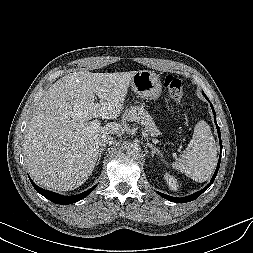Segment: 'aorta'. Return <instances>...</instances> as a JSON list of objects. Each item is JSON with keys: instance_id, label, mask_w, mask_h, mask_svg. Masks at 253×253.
I'll return each mask as SVG.
<instances>
[{"instance_id": "762f6f07", "label": "aorta", "mask_w": 253, "mask_h": 253, "mask_svg": "<svg viewBox=\"0 0 253 253\" xmlns=\"http://www.w3.org/2000/svg\"><path fill=\"white\" fill-rule=\"evenodd\" d=\"M141 153V148L138 144L133 143L127 147V154L132 157H137Z\"/></svg>"}]
</instances>
